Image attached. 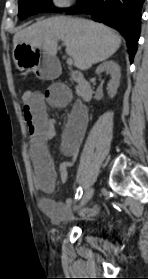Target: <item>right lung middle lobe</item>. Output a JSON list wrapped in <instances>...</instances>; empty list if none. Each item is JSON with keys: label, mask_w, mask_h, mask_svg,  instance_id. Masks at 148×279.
<instances>
[{"label": "right lung middle lobe", "mask_w": 148, "mask_h": 279, "mask_svg": "<svg viewBox=\"0 0 148 279\" xmlns=\"http://www.w3.org/2000/svg\"><path fill=\"white\" fill-rule=\"evenodd\" d=\"M82 2L84 0H78ZM19 13L18 16L21 20L31 16L33 14L45 12V11H64V9L52 8L53 4L51 0H18Z\"/></svg>", "instance_id": "right-lung-middle-lobe-1"}]
</instances>
